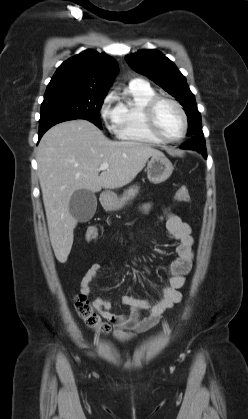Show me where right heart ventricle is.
<instances>
[{"label":"right heart ventricle","mask_w":248,"mask_h":419,"mask_svg":"<svg viewBox=\"0 0 248 419\" xmlns=\"http://www.w3.org/2000/svg\"><path fill=\"white\" fill-rule=\"evenodd\" d=\"M156 92L147 83L131 84L126 87L118 103L117 136L126 141L157 145L160 142L153 138L145 128L143 109Z\"/></svg>","instance_id":"obj_1"}]
</instances>
